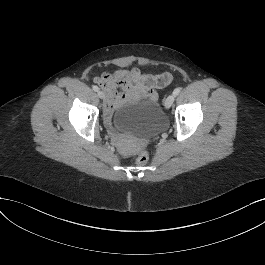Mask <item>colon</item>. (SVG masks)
Segmentation results:
<instances>
[{
	"label": "colon",
	"mask_w": 265,
	"mask_h": 265,
	"mask_svg": "<svg viewBox=\"0 0 265 265\" xmlns=\"http://www.w3.org/2000/svg\"><path fill=\"white\" fill-rule=\"evenodd\" d=\"M149 160V155L146 151H142L136 158V164L138 166H144Z\"/></svg>",
	"instance_id": "obj_1"
}]
</instances>
